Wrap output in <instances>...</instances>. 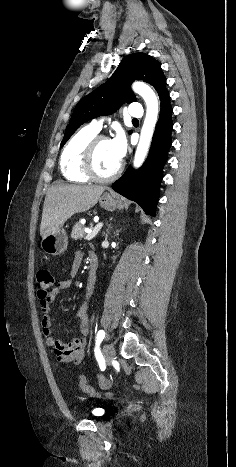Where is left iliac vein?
<instances>
[{"label":"left iliac vein","instance_id":"obj_1","mask_svg":"<svg viewBox=\"0 0 236 467\" xmlns=\"http://www.w3.org/2000/svg\"><path fill=\"white\" fill-rule=\"evenodd\" d=\"M104 357L107 361L108 364L111 363V361L114 359L115 357V348L113 347V345L111 344H106L104 346Z\"/></svg>","mask_w":236,"mask_h":467}]
</instances>
